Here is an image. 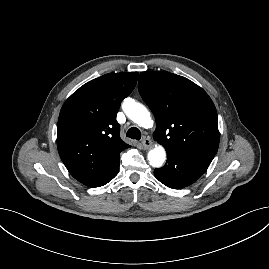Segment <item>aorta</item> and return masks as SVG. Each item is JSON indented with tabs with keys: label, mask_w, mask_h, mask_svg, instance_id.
I'll list each match as a JSON object with an SVG mask.
<instances>
[{
	"label": "aorta",
	"mask_w": 269,
	"mask_h": 269,
	"mask_svg": "<svg viewBox=\"0 0 269 269\" xmlns=\"http://www.w3.org/2000/svg\"><path fill=\"white\" fill-rule=\"evenodd\" d=\"M123 110L130 120L141 127H148L152 123L148 109L133 99H126L124 101ZM147 158L152 167L160 168L166 160V151L163 146L156 145L148 152Z\"/></svg>",
	"instance_id": "obj_1"
}]
</instances>
